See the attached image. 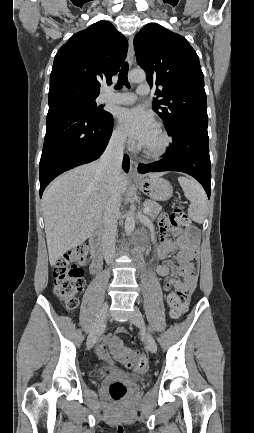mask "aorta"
Segmentation results:
<instances>
[{"label": "aorta", "mask_w": 254, "mask_h": 433, "mask_svg": "<svg viewBox=\"0 0 254 433\" xmlns=\"http://www.w3.org/2000/svg\"><path fill=\"white\" fill-rule=\"evenodd\" d=\"M146 79L145 72L143 70H133L128 75V80L131 83H140ZM135 218L133 212H128L126 215L124 229L127 235H130L134 231Z\"/></svg>", "instance_id": "obj_1"}]
</instances>
